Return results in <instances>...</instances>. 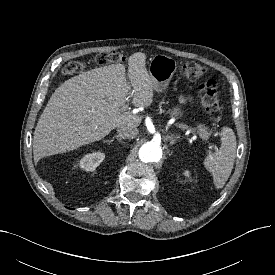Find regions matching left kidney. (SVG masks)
I'll use <instances>...</instances> for the list:
<instances>
[{
  "label": "left kidney",
  "mask_w": 275,
  "mask_h": 275,
  "mask_svg": "<svg viewBox=\"0 0 275 275\" xmlns=\"http://www.w3.org/2000/svg\"><path fill=\"white\" fill-rule=\"evenodd\" d=\"M183 174L191 180V173L188 170L184 171Z\"/></svg>",
  "instance_id": "5707ae66"
}]
</instances>
